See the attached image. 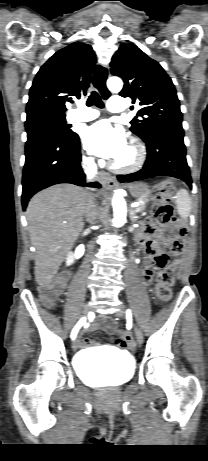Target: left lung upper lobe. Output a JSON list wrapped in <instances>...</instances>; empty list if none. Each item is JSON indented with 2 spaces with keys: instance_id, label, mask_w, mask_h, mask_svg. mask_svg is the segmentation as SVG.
<instances>
[{
  "instance_id": "1",
  "label": "left lung upper lobe",
  "mask_w": 208,
  "mask_h": 461,
  "mask_svg": "<svg viewBox=\"0 0 208 461\" xmlns=\"http://www.w3.org/2000/svg\"><path fill=\"white\" fill-rule=\"evenodd\" d=\"M111 73L122 78V97H130L141 118H134L130 130L143 141L162 128L182 129V112L171 78L161 65L132 43L121 44L113 55ZM134 107L132 106L131 109Z\"/></svg>"
}]
</instances>
